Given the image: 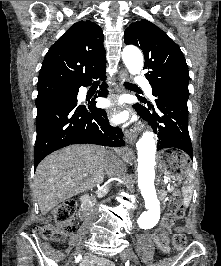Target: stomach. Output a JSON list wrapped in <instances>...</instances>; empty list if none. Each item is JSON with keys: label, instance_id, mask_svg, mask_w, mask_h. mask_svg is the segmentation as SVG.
<instances>
[{"label": "stomach", "instance_id": "obj_1", "mask_svg": "<svg viewBox=\"0 0 221 266\" xmlns=\"http://www.w3.org/2000/svg\"><path fill=\"white\" fill-rule=\"evenodd\" d=\"M161 172L173 181H182L188 177L190 164L188 157L176 149L163 150L158 155Z\"/></svg>", "mask_w": 221, "mask_h": 266}]
</instances>
